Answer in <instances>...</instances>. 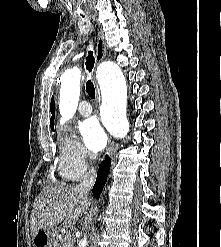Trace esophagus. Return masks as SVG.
<instances>
[{
    "mask_svg": "<svg viewBox=\"0 0 221 247\" xmlns=\"http://www.w3.org/2000/svg\"><path fill=\"white\" fill-rule=\"evenodd\" d=\"M105 55H106V47H105L104 38L103 35L100 32H98L97 48H96L97 62H101L104 59ZM107 152L109 155H112L114 153V141L110 137L108 139Z\"/></svg>",
    "mask_w": 221,
    "mask_h": 247,
    "instance_id": "34e87169",
    "label": "esophagus"
}]
</instances>
